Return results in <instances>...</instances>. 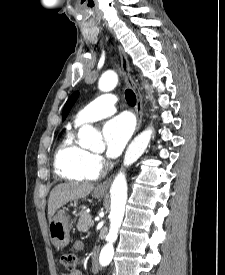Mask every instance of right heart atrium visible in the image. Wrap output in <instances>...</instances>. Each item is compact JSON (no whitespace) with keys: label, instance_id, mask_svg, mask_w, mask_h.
Wrapping results in <instances>:
<instances>
[{"label":"right heart atrium","instance_id":"right-heart-atrium-1","mask_svg":"<svg viewBox=\"0 0 225 275\" xmlns=\"http://www.w3.org/2000/svg\"><path fill=\"white\" fill-rule=\"evenodd\" d=\"M94 163L98 167L103 164V159L99 155H94Z\"/></svg>","mask_w":225,"mask_h":275}]
</instances>
